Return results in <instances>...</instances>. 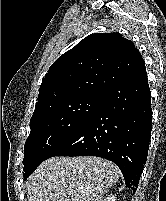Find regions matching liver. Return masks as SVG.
Masks as SVG:
<instances>
[{"instance_id":"1","label":"liver","mask_w":166,"mask_h":201,"mask_svg":"<svg viewBox=\"0 0 166 201\" xmlns=\"http://www.w3.org/2000/svg\"><path fill=\"white\" fill-rule=\"evenodd\" d=\"M119 180L118 167L95 156L53 157L29 177V201H102Z\"/></svg>"}]
</instances>
